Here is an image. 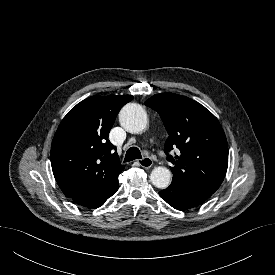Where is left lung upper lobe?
I'll list each match as a JSON object with an SVG mask.
<instances>
[{
	"mask_svg": "<svg viewBox=\"0 0 275 275\" xmlns=\"http://www.w3.org/2000/svg\"><path fill=\"white\" fill-rule=\"evenodd\" d=\"M145 105L161 117L169 134L165 152L174 166L172 182L193 183L215 192L228 167V145L218 119L200 103L174 93L156 94Z\"/></svg>",
	"mask_w": 275,
	"mask_h": 275,
	"instance_id": "1",
	"label": "left lung upper lobe"
}]
</instances>
